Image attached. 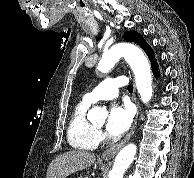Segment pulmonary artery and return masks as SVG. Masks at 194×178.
Listing matches in <instances>:
<instances>
[{
	"label": "pulmonary artery",
	"instance_id": "obj_1",
	"mask_svg": "<svg viewBox=\"0 0 194 178\" xmlns=\"http://www.w3.org/2000/svg\"><path fill=\"white\" fill-rule=\"evenodd\" d=\"M127 84L125 76L108 78L100 82L94 89L83 97L86 103H95L99 100H110L118 96V89Z\"/></svg>",
	"mask_w": 194,
	"mask_h": 178
}]
</instances>
